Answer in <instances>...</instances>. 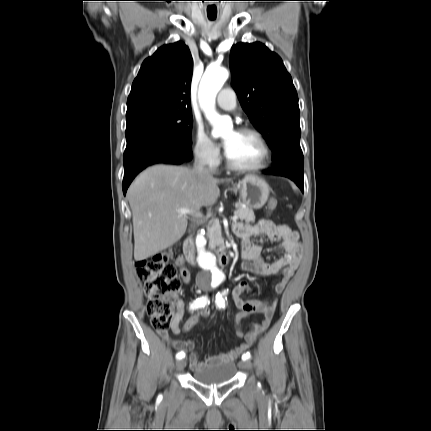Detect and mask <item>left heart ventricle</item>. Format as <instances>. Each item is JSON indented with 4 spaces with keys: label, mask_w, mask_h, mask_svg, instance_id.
I'll return each instance as SVG.
<instances>
[{
    "label": "left heart ventricle",
    "mask_w": 431,
    "mask_h": 431,
    "mask_svg": "<svg viewBox=\"0 0 431 431\" xmlns=\"http://www.w3.org/2000/svg\"><path fill=\"white\" fill-rule=\"evenodd\" d=\"M225 141H229L226 151L229 158L238 165H255L263 157V149L253 135L229 131L225 135Z\"/></svg>",
    "instance_id": "left-heart-ventricle-1"
}]
</instances>
